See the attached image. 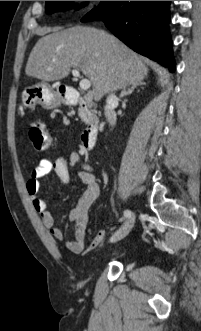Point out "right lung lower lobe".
<instances>
[{"mask_svg": "<svg viewBox=\"0 0 201 331\" xmlns=\"http://www.w3.org/2000/svg\"><path fill=\"white\" fill-rule=\"evenodd\" d=\"M170 1H102L81 21L103 20L134 51L175 70L169 34Z\"/></svg>", "mask_w": 201, "mask_h": 331, "instance_id": "98d812e1", "label": "right lung lower lobe"}]
</instances>
